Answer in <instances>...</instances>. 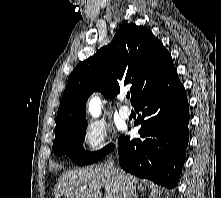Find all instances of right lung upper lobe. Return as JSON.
Here are the masks:
<instances>
[{"mask_svg": "<svg viewBox=\"0 0 221 198\" xmlns=\"http://www.w3.org/2000/svg\"><path fill=\"white\" fill-rule=\"evenodd\" d=\"M174 71L171 55L149 29L121 26L110 44L70 74L57 112L55 136L87 124L85 106L94 91L108 99L120 92V86L131 84L135 106Z\"/></svg>", "mask_w": 221, "mask_h": 198, "instance_id": "right-lung-upper-lobe-1", "label": "right lung upper lobe"}]
</instances>
